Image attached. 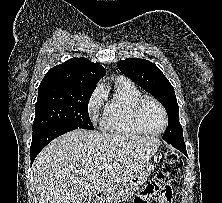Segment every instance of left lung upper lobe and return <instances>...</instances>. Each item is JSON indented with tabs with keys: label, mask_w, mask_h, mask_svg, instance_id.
Returning <instances> with one entry per match:
<instances>
[{
	"label": "left lung upper lobe",
	"mask_w": 222,
	"mask_h": 203,
	"mask_svg": "<svg viewBox=\"0 0 222 203\" xmlns=\"http://www.w3.org/2000/svg\"><path fill=\"white\" fill-rule=\"evenodd\" d=\"M117 66L124 75L164 105L168 115V127L163 139L168 143L184 142L174 88L162 71L154 63L138 58H127L119 61Z\"/></svg>",
	"instance_id": "1"
}]
</instances>
